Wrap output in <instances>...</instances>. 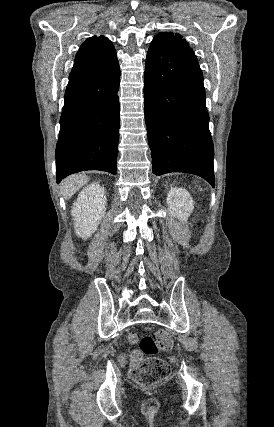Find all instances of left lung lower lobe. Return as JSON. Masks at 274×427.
<instances>
[{
  "label": "left lung lower lobe",
  "mask_w": 274,
  "mask_h": 427,
  "mask_svg": "<svg viewBox=\"0 0 274 427\" xmlns=\"http://www.w3.org/2000/svg\"><path fill=\"white\" fill-rule=\"evenodd\" d=\"M144 110L155 175L196 174L215 185L203 75L188 44L155 37L147 53Z\"/></svg>",
  "instance_id": "0a47b994"
}]
</instances>
